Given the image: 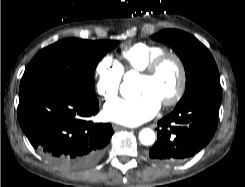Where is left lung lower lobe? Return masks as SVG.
Masks as SVG:
<instances>
[{"label": "left lung lower lobe", "instance_id": "left-lung-lower-lobe-1", "mask_svg": "<svg viewBox=\"0 0 245 187\" xmlns=\"http://www.w3.org/2000/svg\"><path fill=\"white\" fill-rule=\"evenodd\" d=\"M220 87L194 94L158 121L157 142L149 158L159 164H176L199 152L217 128Z\"/></svg>", "mask_w": 245, "mask_h": 187}]
</instances>
